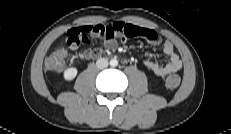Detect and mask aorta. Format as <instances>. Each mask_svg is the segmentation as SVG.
<instances>
[{
  "mask_svg": "<svg viewBox=\"0 0 231 134\" xmlns=\"http://www.w3.org/2000/svg\"><path fill=\"white\" fill-rule=\"evenodd\" d=\"M110 65L112 66V67H116L117 65H118V61H117V59H111L110 60Z\"/></svg>",
  "mask_w": 231,
  "mask_h": 134,
  "instance_id": "aorta-1",
  "label": "aorta"
}]
</instances>
